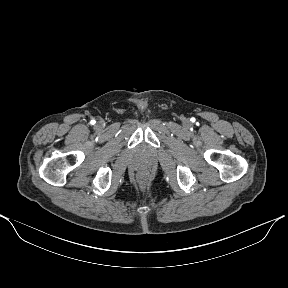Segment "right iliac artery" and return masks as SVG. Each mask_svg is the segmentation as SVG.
Segmentation results:
<instances>
[{
    "instance_id": "1",
    "label": "right iliac artery",
    "mask_w": 288,
    "mask_h": 288,
    "mask_svg": "<svg viewBox=\"0 0 288 288\" xmlns=\"http://www.w3.org/2000/svg\"><path fill=\"white\" fill-rule=\"evenodd\" d=\"M92 125H94L95 123H96V121L95 120H91V122H90Z\"/></svg>"
}]
</instances>
